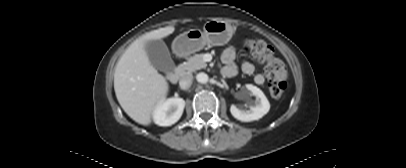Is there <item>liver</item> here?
<instances>
[{"label": "liver", "instance_id": "6515ba94", "mask_svg": "<svg viewBox=\"0 0 406 168\" xmlns=\"http://www.w3.org/2000/svg\"><path fill=\"white\" fill-rule=\"evenodd\" d=\"M175 28L167 26L146 33L135 40L116 64L114 90L117 100L135 122L149 125L155 108L168 93L166 78L151 64L145 45L172 34Z\"/></svg>", "mask_w": 406, "mask_h": 168}]
</instances>
